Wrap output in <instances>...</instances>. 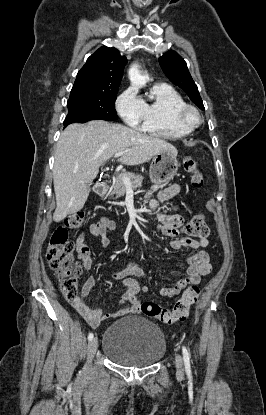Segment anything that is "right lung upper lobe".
<instances>
[{
    "instance_id": "1",
    "label": "right lung upper lobe",
    "mask_w": 266,
    "mask_h": 415,
    "mask_svg": "<svg viewBox=\"0 0 266 415\" xmlns=\"http://www.w3.org/2000/svg\"><path fill=\"white\" fill-rule=\"evenodd\" d=\"M126 63V57L116 48H99L78 72L71 93L118 91Z\"/></svg>"
}]
</instances>
